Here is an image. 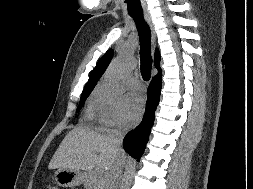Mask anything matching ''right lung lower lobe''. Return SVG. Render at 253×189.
Here are the masks:
<instances>
[{"instance_id": "1", "label": "right lung lower lobe", "mask_w": 253, "mask_h": 189, "mask_svg": "<svg viewBox=\"0 0 253 189\" xmlns=\"http://www.w3.org/2000/svg\"><path fill=\"white\" fill-rule=\"evenodd\" d=\"M161 85V74H159L152 79L148 87L146 110L142 122L123 140L124 149L137 160L142 156L148 141L155 110L160 100Z\"/></svg>"}]
</instances>
